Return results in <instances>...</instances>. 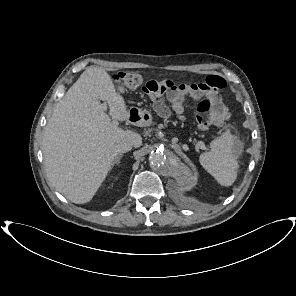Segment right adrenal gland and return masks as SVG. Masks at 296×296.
<instances>
[{
	"label": "right adrenal gland",
	"mask_w": 296,
	"mask_h": 296,
	"mask_svg": "<svg viewBox=\"0 0 296 296\" xmlns=\"http://www.w3.org/2000/svg\"><path fill=\"white\" fill-rule=\"evenodd\" d=\"M121 157H123L122 153H119L116 155V157L114 158L112 165H111V169L113 168L114 165H119L120 164V159Z\"/></svg>",
	"instance_id": "1"
}]
</instances>
